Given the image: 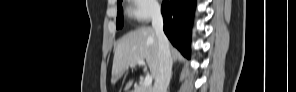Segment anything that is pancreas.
Masks as SVG:
<instances>
[{"label":"pancreas","mask_w":296,"mask_h":92,"mask_svg":"<svg viewBox=\"0 0 296 92\" xmlns=\"http://www.w3.org/2000/svg\"><path fill=\"white\" fill-rule=\"evenodd\" d=\"M136 92H151V88L145 86L144 84H140L136 87Z\"/></svg>","instance_id":"pancreas-1"}]
</instances>
